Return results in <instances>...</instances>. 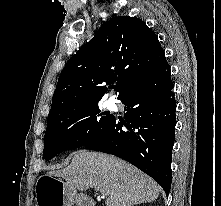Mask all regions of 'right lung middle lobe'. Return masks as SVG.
Wrapping results in <instances>:
<instances>
[{
	"mask_svg": "<svg viewBox=\"0 0 221 206\" xmlns=\"http://www.w3.org/2000/svg\"><path fill=\"white\" fill-rule=\"evenodd\" d=\"M112 115L100 113L98 103L60 109L48 116L43 158L49 161L62 151L82 147Z\"/></svg>",
	"mask_w": 221,
	"mask_h": 206,
	"instance_id": "obj_1",
	"label": "right lung middle lobe"
}]
</instances>
